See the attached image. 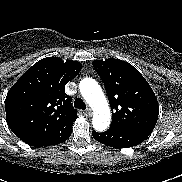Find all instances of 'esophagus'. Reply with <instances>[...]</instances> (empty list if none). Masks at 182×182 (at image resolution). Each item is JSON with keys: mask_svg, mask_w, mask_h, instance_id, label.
Returning <instances> with one entry per match:
<instances>
[{"mask_svg": "<svg viewBox=\"0 0 182 182\" xmlns=\"http://www.w3.org/2000/svg\"><path fill=\"white\" fill-rule=\"evenodd\" d=\"M85 116L86 117H91L92 116V111L91 109H87L85 112H84Z\"/></svg>", "mask_w": 182, "mask_h": 182, "instance_id": "esophagus-1", "label": "esophagus"}]
</instances>
